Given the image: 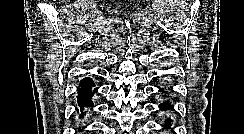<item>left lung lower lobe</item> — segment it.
<instances>
[{
    "label": "left lung lower lobe",
    "instance_id": "0a47b994",
    "mask_svg": "<svg viewBox=\"0 0 244 134\" xmlns=\"http://www.w3.org/2000/svg\"><path fill=\"white\" fill-rule=\"evenodd\" d=\"M160 92H162V90L160 89L159 90ZM159 108L162 110V111H166L167 109H173V106H171V104L167 103V102H164L163 104H160L159 105ZM170 125H171V120L170 119H167V122H166V126L167 128H170Z\"/></svg>",
    "mask_w": 244,
    "mask_h": 134
}]
</instances>
